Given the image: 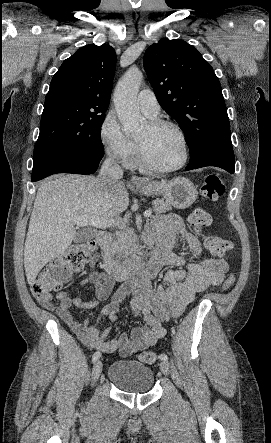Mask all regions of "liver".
I'll list each match as a JSON object with an SVG mask.
<instances>
[{"label":"liver","mask_w":271,"mask_h":443,"mask_svg":"<svg viewBox=\"0 0 271 443\" xmlns=\"http://www.w3.org/2000/svg\"><path fill=\"white\" fill-rule=\"evenodd\" d=\"M98 184L94 176L76 174H59L41 182L24 247V267L30 285L50 259L61 255L79 237L75 216L101 218L110 223L127 210L129 196L123 182H115L108 190H101Z\"/></svg>","instance_id":"liver-1"}]
</instances>
